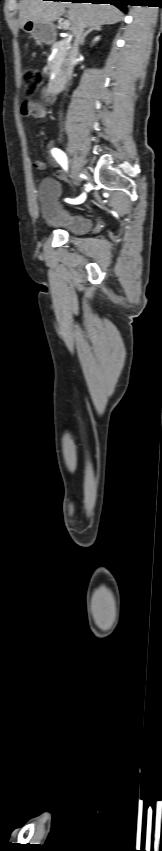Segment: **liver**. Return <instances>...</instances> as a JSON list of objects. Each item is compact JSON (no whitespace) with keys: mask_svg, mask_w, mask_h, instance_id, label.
<instances>
[{"mask_svg":"<svg viewBox=\"0 0 162 851\" xmlns=\"http://www.w3.org/2000/svg\"><path fill=\"white\" fill-rule=\"evenodd\" d=\"M66 8H68V18L72 31L79 23H83L85 28L111 25L123 20V13L109 4L21 0L19 5V26L22 28L29 20L52 24L65 13Z\"/></svg>","mask_w":162,"mask_h":851,"instance_id":"6515ba94","label":"liver"}]
</instances>
